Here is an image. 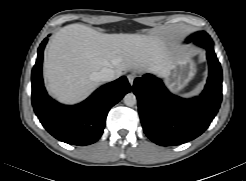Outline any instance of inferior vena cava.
<instances>
[{
    "label": "inferior vena cava",
    "instance_id": "obj_1",
    "mask_svg": "<svg viewBox=\"0 0 246 181\" xmlns=\"http://www.w3.org/2000/svg\"><path fill=\"white\" fill-rule=\"evenodd\" d=\"M95 78L101 82H110L116 78V74L113 69L104 67L95 73Z\"/></svg>",
    "mask_w": 246,
    "mask_h": 181
}]
</instances>
